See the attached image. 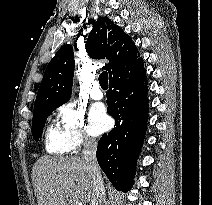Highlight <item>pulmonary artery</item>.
I'll use <instances>...</instances> for the list:
<instances>
[{"label":"pulmonary artery","instance_id":"e3ab8cb5","mask_svg":"<svg viewBox=\"0 0 212 205\" xmlns=\"http://www.w3.org/2000/svg\"><path fill=\"white\" fill-rule=\"evenodd\" d=\"M90 96L94 100H100V99L103 98L104 94H103V91L100 88V84L98 83V81L93 82L92 88H91V91H90Z\"/></svg>","mask_w":212,"mask_h":205}]
</instances>
